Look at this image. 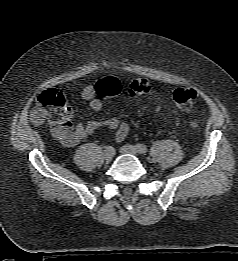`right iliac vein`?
Instances as JSON below:
<instances>
[{
	"label": "right iliac vein",
	"instance_id": "63e3f726",
	"mask_svg": "<svg viewBox=\"0 0 238 261\" xmlns=\"http://www.w3.org/2000/svg\"><path fill=\"white\" fill-rule=\"evenodd\" d=\"M115 155V151L113 150V152H108L107 149L105 150V153H104V158L106 161H111L112 158L114 157Z\"/></svg>",
	"mask_w": 238,
	"mask_h": 261
}]
</instances>
